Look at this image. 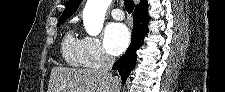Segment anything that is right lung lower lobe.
<instances>
[{"label":"right lung lower lobe","instance_id":"obj_1","mask_svg":"<svg viewBox=\"0 0 225 92\" xmlns=\"http://www.w3.org/2000/svg\"><path fill=\"white\" fill-rule=\"evenodd\" d=\"M133 16L134 24L132 29L131 44L126 53L116 61L112 68L114 70H118L123 83L135 67L137 59L136 51L144 42V37L148 32L147 25L150 21L148 12H140L135 10Z\"/></svg>","mask_w":225,"mask_h":92}]
</instances>
